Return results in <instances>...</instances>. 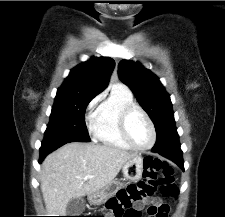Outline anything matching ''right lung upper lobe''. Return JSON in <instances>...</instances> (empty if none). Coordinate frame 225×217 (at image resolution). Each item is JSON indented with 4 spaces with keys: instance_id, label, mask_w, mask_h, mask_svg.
<instances>
[{
    "instance_id": "1",
    "label": "right lung upper lobe",
    "mask_w": 225,
    "mask_h": 217,
    "mask_svg": "<svg viewBox=\"0 0 225 217\" xmlns=\"http://www.w3.org/2000/svg\"><path fill=\"white\" fill-rule=\"evenodd\" d=\"M114 66V60L109 57H92L71 70L57 95L95 97L108 86Z\"/></svg>"
}]
</instances>
